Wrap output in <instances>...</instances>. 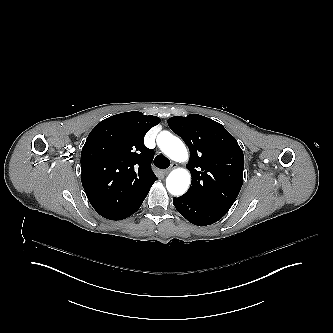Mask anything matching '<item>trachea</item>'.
Instances as JSON below:
<instances>
[{
	"mask_svg": "<svg viewBox=\"0 0 333 333\" xmlns=\"http://www.w3.org/2000/svg\"><path fill=\"white\" fill-rule=\"evenodd\" d=\"M154 165L160 169H166L170 165V161L163 155L159 154L154 159Z\"/></svg>",
	"mask_w": 333,
	"mask_h": 333,
	"instance_id": "1",
	"label": "trachea"
}]
</instances>
